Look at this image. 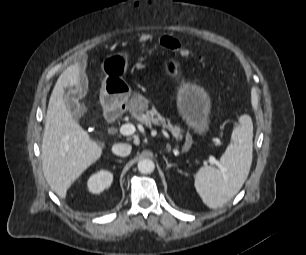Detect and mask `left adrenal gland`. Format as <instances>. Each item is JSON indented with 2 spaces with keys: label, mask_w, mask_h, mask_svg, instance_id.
<instances>
[{
  "label": "left adrenal gland",
  "mask_w": 306,
  "mask_h": 255,
  "mask_svg": "<svg viewBox=\"0 0 306 255\" xmlns=\"http://www.w3.org/2000/svg\"><path fill=\"white\" fill-rule=\"evenodd\" d=\"M163 159L165 160L166 162V168L169 169L171 167H176V164H173V163H169L167 158L163 155Z\"/></svg>",
  "instance_id": "a2214340"
}]
</instances>
